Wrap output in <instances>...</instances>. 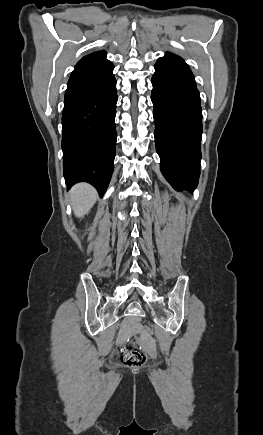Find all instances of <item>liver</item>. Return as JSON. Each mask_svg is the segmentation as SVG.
<instances>
[{
	"label": "liver",
	"instance_id": "obj_1",
	"mask_svg": "<svg viewBox=\"0 0 263 435\" xmlns=\"http://www.w3.org/2000/svg\"><path fill=\"white\" fill-rule=\"evenodd\" d=\"M70 198L75 216L82 217L96 202L97 193L91 185L79 183L70 190Z\"/></svg>",
	"mask_w": 263,
	"mask_h": 435
}]
</instances>
